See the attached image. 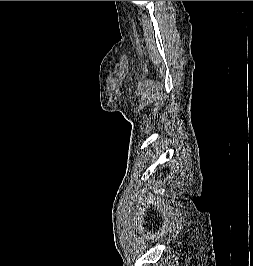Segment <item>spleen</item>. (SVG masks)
Instances as JSON below:
<instances>
[{"label":"spleen","instance_id":"obj_1","mask_svg":"<svg viewBox=\"0 0 253 266\" xmlns=\"http://www.w3.org/2000/svg\"><path fill=\"white\" fill-rule=\"evenodd\" d=\"M154 232H157V229H154Z\"/></svg>","mask_w":253,"mask_h":266}]
</instances>
